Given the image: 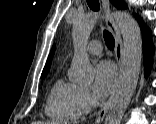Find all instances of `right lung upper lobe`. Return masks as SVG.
I'll list each match as a JSON object with an SVG mask.
<instances>
[{"mask_svg": "<svg viewBox=\"0 0 156 124\" xmlns=\"http://www.w3.org/2000/svg\"><path fill=\"white\" fill-rule=\"evenodd\" d=\"M54 51H55V46H53V48H52V50H51V52L49 54V57L47 59L46 65H45V67L43 69L42 75H46L48 73V71L50 69V65H51V60H52V57L54 55Z\"/></svg>", "mask_w": 156, "mask_h": 124, "instance_id": "cb5924a9", "label": "right lung upper lobe"}]
</instances>
